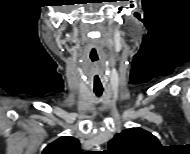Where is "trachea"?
<instances>
[{
  "label": "trachea",
  "mask_w": 190,
  "mask_h": 154,
  "mask_svg": "<svg viewBox=\"0 0 190 154\" xmlns=\"http://www.w3.org/2000/svg\"><path fill=\"white\" fill-rule=\"evenodd\" d=\"M102 90H94V93L96 94V96L100 97L102 95Z\"/></svg>",
  "instance_id": "1"
}]
</instances>
